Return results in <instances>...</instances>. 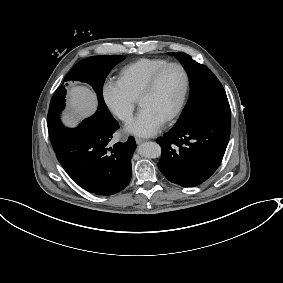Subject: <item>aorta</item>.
Segmentation results:
<instances>
[{
  "label": "aorta",
  "mask_w": 283,
  "mask_h": 283,
  "mask_svg": "<svg viewBox=\"0 0 283 283\" xmlns=\"http://www.w3.org/2000/svg\"><path fill=\"white\" fill-rule=\"evenodd\" d=\"M138 153L145 158H158L161 147L156 142H145L138 147Z\"/></svg>",
  "instance_id": "obj_1"
}]
</instances>
